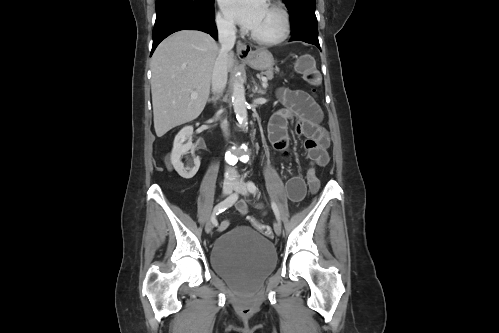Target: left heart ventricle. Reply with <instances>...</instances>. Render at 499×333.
Returning <instances> with one entry per match:
<instances>
[{
    "instance_id": "left-heart-ventricle-1",
    "label": "left heart ventricle",
    "mask_w": 499,
    "mask_h": 333,
    "mask_svg": "<svg viewBox=\"0 0 499 333\" xmlns=\"http://www.w3.org/2000/svg\"><path fill=\"white\" fill-rule=\"evenodd\" d=\"M283 27L280 13L267 6L251 31L264 39H273L280 35Z\"/></svg>"
}]
</instances>
